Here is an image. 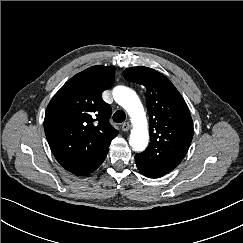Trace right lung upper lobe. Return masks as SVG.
Wrapping results in <instances>:
<instances>
[{
    "mask_svg": "<svg viewBox=\"0 0 243 243\" xmlns=\"http://www.w3.org/2000/svg\"><path fill=\"white\" fill-rule=\"evenodd\" d=\"M113 66H93L69 79L47 106L44 130L59 164L88 175L105 160L118 130L109 123L111 107L101 93L114 83Z\"/></svg>",
    "mask_w": 243,
    "mask_h": 243,
    "instance_id": "cb5924a9",
    "label": "right lung upper lobe"
}]
</instances>
